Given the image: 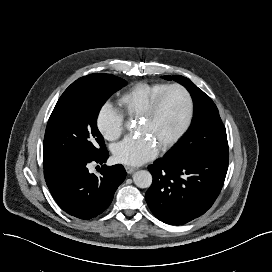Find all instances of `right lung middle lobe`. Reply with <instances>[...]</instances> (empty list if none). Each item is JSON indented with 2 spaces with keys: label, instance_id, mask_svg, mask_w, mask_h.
Segmentation results:
<instances>
[{
  "label": "right lung middle lobe",
  "instance_id": "dd1d6c3e",
  "mask_svg": "<svg viewBox=\"0 0 272 272\" xmlns=\"http://www.w3.org/2000/svg\"><path fill=\"white\" fill-rule=\"evenodd\" d=\"M126 84L125 80L110 74H90L72 83L49 118L43 155L92 157L105 151L97 116L106 100Z\"/></svg>",
  "mask_w": 272,
  "mask_h": 272
}]
</instances>
